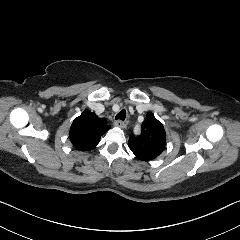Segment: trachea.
<instances>
[{
  "mask_svg": "<svg viewBox=\"0 0 240 240\" xmlns=\"http://www.w3.org/2000/svg\"><path fill=\"white\" fill-rule=\"evenodd\" d=\"M126 118V110L125 109H122L117 115H116V119L117 120H121V121H124Z\"/></svg>",
  "mask_w": 240,
  "mask_h": 240,
  "instance_id": "1",
  "label": "trachea"
}]
</instances>
